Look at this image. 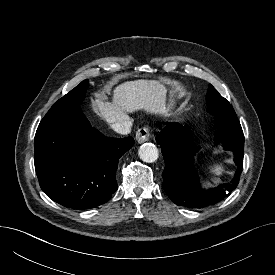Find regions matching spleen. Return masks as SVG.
Wrapping results in <instances>:
<instances>
[{"instance_id": "spleen-1", "label": "spleen", "mask_w": 275, "mask_h": 275, "mask_svg": "<svg viewBox=\"0 0 275 275\" xmlns=\"http://www.w3.org/2000/svg\"><path fill=\"white\" fill-rule=\"evenodd\" d=\"M209 169L215 175H221L223 173V167L220 164L209 166Z\"/></svg>"}]
</instances>
